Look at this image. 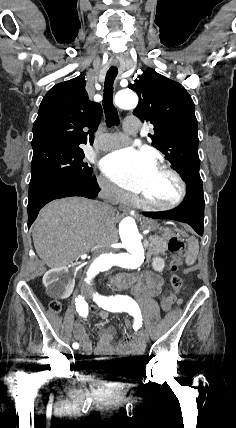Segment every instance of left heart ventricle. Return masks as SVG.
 <instances>
[{"label": "left heart ventricle", "mask_w": 236, "mask_h": 428, "mask_svg": "<svg viewBox=\"0 0 236 428\" xmlns=\"http://www.w3.org/2000/svg\"><path fill=\"white\" fill-rule=\"evenodd\" d=\"M177 194V182L162 169H155L150 173L140 193L149 200L162 204L171 202Z\"/></svg>", "instance_id": "left-heart-ventricle-1"}]
</instances>
